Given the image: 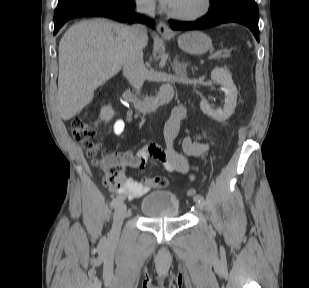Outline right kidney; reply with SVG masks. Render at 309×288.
Instances as JSON below:
<instances>
[{"label":"right kidney","mask_w":309,"mask_h":288,"mask_svg":"<svg viewBox=\"0 0 309 288\" xmlns=\"http://www.w3.org/2000/svg\"><path fill=\"white\" fill-rule=\"evenodd\" d=\"M113 115H114V111L110 105L102 107L101 112H100V118L103 121L105 122L110 121Z\"/></svg>","instance_id":"right-kidney-1"}]
</instances>
